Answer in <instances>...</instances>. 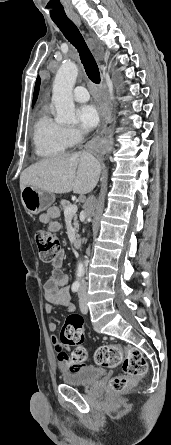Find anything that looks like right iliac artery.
Returning <instances> with one entry per match:
<instances>
[{"label":"right iliac artery","instance_id":"1","mask_svg":"<svg viewBox=\"0 0 171 445\" xmlns=\"http://www.w3.org/2000/svg\"><path fill=\"white\" fill-rule=\"evenodd\" d=\"M71 289H72V292H77L78 289H79V285L78 284H73Z\"/></svg>","mask_w":171,"mask_h":445}]
</instances>
